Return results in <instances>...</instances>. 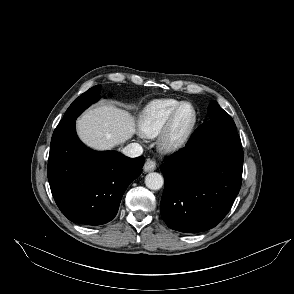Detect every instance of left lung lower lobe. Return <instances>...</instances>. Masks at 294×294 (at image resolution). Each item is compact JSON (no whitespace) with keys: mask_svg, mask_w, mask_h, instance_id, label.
Returning a JSON list of instances; mask_svg holds the SVG:
<instances>
[{"mask_svg":"<svg viewBox=\"0 0 294 294\" xmlns=\"http://www.w3.org/2000/svg\"><path fill=\"white\" fill-rule=\"evenodd\" d=\"M160 169L165 182L160 208L168 227L185 233L215 227L241 187L243 150L234 121L202 124Z\"/></svg>","mask_w":294,"mask_h":294,"instance_id":"left-lung-lower-lobe-1","label":"left lung lower lobe"}]
</instances>
